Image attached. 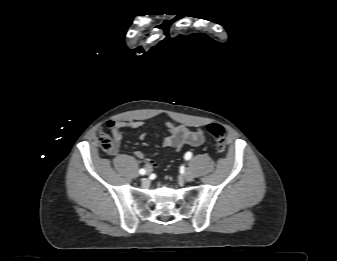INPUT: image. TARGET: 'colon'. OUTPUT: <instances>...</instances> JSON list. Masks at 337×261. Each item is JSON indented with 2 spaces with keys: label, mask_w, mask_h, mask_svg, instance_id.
<instances>
[{
  "label": "colon",
  "mask_w": 337,
  "mask_h": 261,
  "mask_svg": "<svg viewBox=\"0 0 337 261\" xmlns=\"http://www.w3.org/2000/svg\"><path fill=\"white\" fill-rule=\"evenodd\" d=\"M206 128H207V131L213 136V138L216 141L217 152L220 155L223 154L226 149V137H225L224 128L220 124H217V123H211L207 125ZM99 141H100V146L103 151L107 153H111L114 151L115 144L108 135L101 134Z\"/></svg>",
  "instance_id": "5ec220e1"
}]
</instances>
